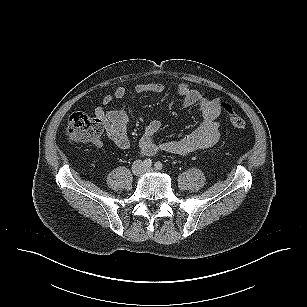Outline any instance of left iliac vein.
Here are the masks:
<instances>
[{"mask_svg": "<svg viewBox=\"0 0 307 307\" xmlns=\"http://www.w3.org/2000/svg\"><path fill=\"white\" fill-rule=\"evenodd\" d=\"M145 171H147V172H152L153 169H152L151 167H149V168H147Z\"/></svg>", "mask_w": 307, "mask_h": 307, "instance_id": "4c4485c4", "label": "left iliac vein"}]
</instances>
